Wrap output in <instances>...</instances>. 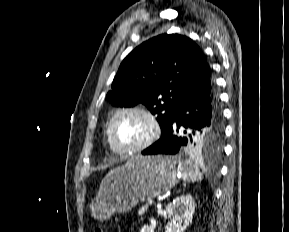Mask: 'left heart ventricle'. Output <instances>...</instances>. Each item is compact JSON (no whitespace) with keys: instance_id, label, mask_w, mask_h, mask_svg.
Masks as SVG:
<instances>
[{"instance_id":"obj_1","label":"left heart ventricle","mask_w":289,"mask_h":232,"mask_svg":"<svg viewBox=\"0 0 289 232\" xmlns=\"http://www.w3.org/2000/svg\"><path fill=\"white\" fill-rule=\"evenodd\" d=\"M149 133V124L136 113L120 115L114 124L113 135L122 146H134L141 143Z\"/></svg>"}]
</instances>
